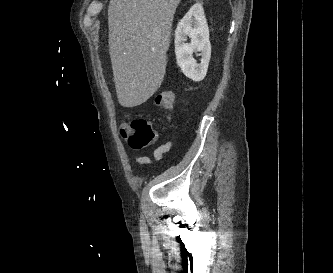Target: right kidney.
Segmentation results:
<instances>
[{"mask_svg": "<svg viewBox=\"0 0 333 273\" xmlns=\"http://www.w3.org/2000/svg\"><path fill=\"white\" fill-rule=\"evenodd\" d=\"M187 36L191 38L190 43H186ZM174 43L177 64L183 74L193 81L203 80L211 57V44L207 21L200 3L194 4L179 22ZM197 52L202 56L199 64L193 58V53Z\"/></svg>", "mask_w": 333, "mask_h": 273, "instance_id": "1", "label": "right kidney"}]
</instances>
